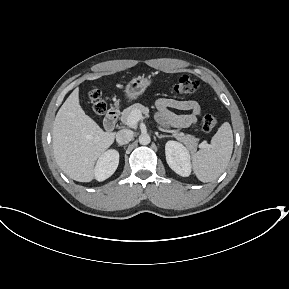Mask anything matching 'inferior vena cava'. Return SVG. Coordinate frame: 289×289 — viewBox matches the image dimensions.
Segmentation results:
<instances>
[{
  "instance_id": "inferior-vena-cava-1",
  "label": "inferior vena cava",
  "mask_w": 289,
  "mask_h": 289,
  "mask_svg": "<svg viewBox=\"0 0 289 289\" xmlns=\"http://www.w3.org/2000/svg\"><path fill=\"white\" fill-rule=\"evenodd\" d=\"M133 138V132L128 129H122L116 134V141L119 145L129 143Z\"/></svg>"
}]
</instances>
